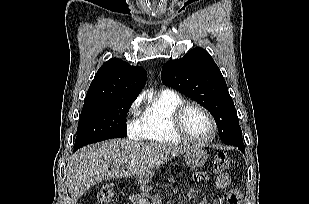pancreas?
<instances>
[{
  "mask_svg": "<svg viewBox=\"0 0 309 204\" xmlns=\"http://www.w3.org/2000/svg\"><path fill=\"white\" fill-rule=\"evenodd\" d=\"M142 190H143V194H142V195L135 196V198H136L137 200H140V201L144 202V204H149V203L146 202L147 200H146V198H144V197H145V196H148V192L151 190V187L144 185V186L142 187Z\"/></svg>",
  "mask_w": 309,
  "mask_h": 204,
  "instance_id": "obj_1",
  "label": "pancreas"
}]
</instances>
